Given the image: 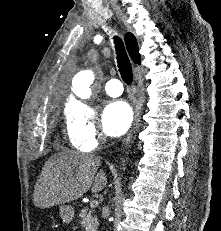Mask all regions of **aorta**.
<instances>
[{
    "label": "aorta",
    "mask_w": 221,
    "mask_h": 231,
    "mask_svg": "<svg viewBox=\"0 0 221 231\" xmlns=\"http://www.w3.org/2000/svg\"><path fill=\"white\" fill-rule=\"evenodd\" d=\"M94 81V74L90 70L78 73L72 81V91L80 98L87 99L91 96L90 85Z\"/></svg>",
    "instance_id": "obj_1"
}]
</instances>
